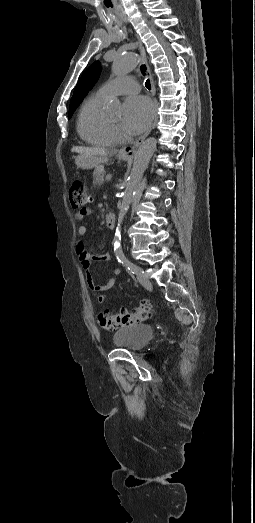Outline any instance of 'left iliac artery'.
I'll use <instances>...</instances> for the list:
<instances>
[{"label": "left iliac artery", "instance_id": "44dca946", "mask_svg": "<svg viewBox=\"0 0 255 523\" xmlns=\"http://www.w3.org/2000/svg\"><path fill=\"white\" fill-rule=\"evenodd\" d=\"M122 263L124 264L125 267L128 268V270H130L134 274H139L142 271L140 267H138L137 265L133 264L128 259H125Z\"/></svg>", "mask_w": 255, "mask_h": 523}]
</instances>
